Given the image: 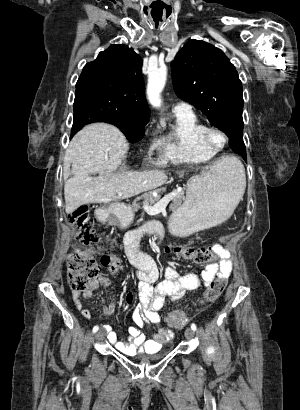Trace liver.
Returning a JSON list of instances; mask_svg holds the SVG:
<instances>
[{
  "label": "liver",
  "instance_id": "obj_1",
  "mask_svg": "<svg viewBox=\"0 0 300 410\" xmlns=\"http://www.w3.org/2000/svg\"><path fill=\"white\" fill-rule=\"evenodd\" d=\"M128 149L122 132L109 124L87 125L74 136L64 158L65 177L71 163L73 175L64 185L67 214L83 204L130 198L166 183L163 170L116 172ZM223 162L222 158L214 165L221 167ZM93 173L99 176L92 177Z\"/></svg>",
  "mask_w": 300,
  "mask_h": 410
}]
</instances>
